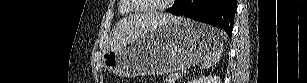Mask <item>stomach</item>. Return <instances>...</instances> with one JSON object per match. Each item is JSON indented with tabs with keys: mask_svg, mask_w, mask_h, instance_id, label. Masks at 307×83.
<instances>
[{
	"mask_svg": "<svg viewBox=\"0 0 307 83\" xmlns=\"http://www.w3.org/2000/svg\"><path fill=\"white\" fill-rule=\"evenodd\" d=\"M215 47L212 27L176 17L102 56L105 68L117 76L160 75L189 68Z\"/></svg>",
	"mask_w": 307,
	"mask_h": 83,
	"instance_id": "0dacf381",
	"label": "stomach"
}]
</instances>
